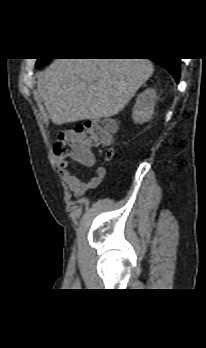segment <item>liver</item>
Segmentation results:
<instances>
[{
	"mask_svg": "<svg viewBox=\"0 0 206 348\" xmlns=\"http://www.w3.org/2000/svg\"><path fill=\"white\" fill-rule=\"evenodd\" d=\"M153 72L148 59H56L38 75L36 95L57 125L108 118Z\"/></svg>",
	"mask_w": 206,
	"mask_h": 348,
	"instance_id": "obj_1",
	"label": "liver"
}]
</instances>
